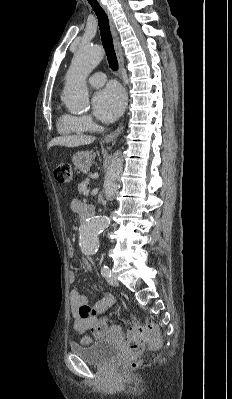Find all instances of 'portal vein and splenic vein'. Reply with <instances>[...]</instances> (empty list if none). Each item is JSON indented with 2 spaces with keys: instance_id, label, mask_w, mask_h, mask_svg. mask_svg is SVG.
<instances>
[{
  "instance_id": "obj_1",
  "label": "portal vein and splenic vein",
  "mask_w": 232,
  "mask_h": 399,
  "mask_svg": "<svg viewBox=\"0 0 232 399\" xmlns=\"http://www.w3.org/2000/svg\"><path fill=\"white\" fill-rule=\"evenodd\" d=\"M84 196H88L89 194V190H85V192H83Z\"/></svg>"
}]
</instances>
